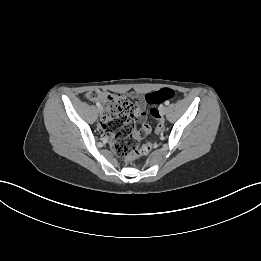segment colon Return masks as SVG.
<instances>
[{"label":"colon","instance_id":"colon-1","mask_svg":"<svg viewBox=\"0 0 261 261\" xmlns=\"http://www.w3.org/2000/svg\"><path fill=\"white\" fill-rule=\"evenodd\" d=\"M86 96L90 101L99 100L104 103L105 113L101 129L113 137L112 147L116 154L130 161L150 150V145L140 146L138 143L142 129L140 131L135 129L132 121L134 105L129 99L120 94L97 89L89 91ZM174 97V90L164 88L149 93L144 98L150 104H157ZM150 114L158 119L159 126L155 131V136H160L164 129V118L160 116L157 108H152Z\"/></svg>","mask_w":261,"mask_h":261}]
</instances>
